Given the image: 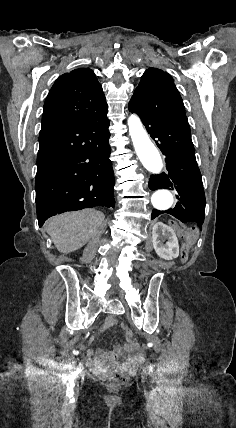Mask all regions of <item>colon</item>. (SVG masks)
Returning <instances> with one entry per match:
<instances>
[{"mask_svg":"<svg viewBox=\"0 0 236 428\" xmlns=\"http://www.w3.org/2000/svg\"><path fill=\"white\" fill-rule=\"evenodd\" d=\"M126 337L131 340L133 333L129 328H125ZM129 374L123 371H116L110 376V384L113 387H120L129 382Z\"/></svg>","mask_w":236,"mask_h":428,"instance_id":"obj_1","label":"colon"}]
</instances>
